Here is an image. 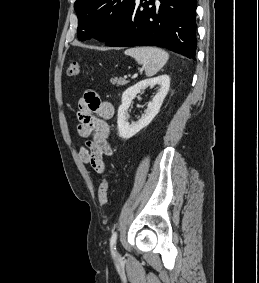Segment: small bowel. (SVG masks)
I'll return each instance as SVG.
<instances>
[{
  "mask_svg": "<svg viewBox=\"0 0 259 283\" xmlns=\"http://www.w3.org/2000/svg\"><path fill=\"white\" fill-rule=\"evenodd\" d=\"M113 115V105L100 99L94 91L85 92L78 102L77 132L85 139L79 156L99 174L105 172L103 157L113 154L109 143L110 128L107 124V120Z\"/></svg>",
  "mask_w": 259,
  "mask_h": 283,
  "instance_id": "c3829d8e",
  "label": "small bowel"
}]
</instances>
